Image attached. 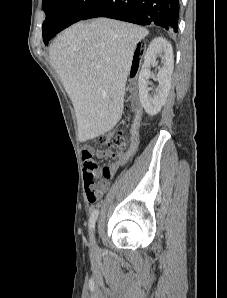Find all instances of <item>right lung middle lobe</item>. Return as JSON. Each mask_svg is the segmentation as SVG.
<instances>
[{
    "label": "right lung middle lobe",
    "mask_w": 227,
    "mask_h": 298,
    "mask_svg": "<svg viewBox=\"0 0 227 298\" xmlns=\"http://www.w3.org/2000/svg\"><path fill=\"white\" fill-rule=\"evenodd\" d=\"M100 0H42L46 13L43 23V41L49 39L71 24L81 20Z\"/></svg>",
    "instance_id": "1"
}]
</instances>
